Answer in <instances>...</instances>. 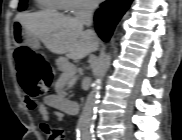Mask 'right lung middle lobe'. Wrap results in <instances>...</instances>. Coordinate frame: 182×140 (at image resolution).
<instances>
[{
    "mask_svg": "<svg viewBox=\"0 0 182 140\" xmlns=\"http://www.w3.org/2000/svg\"><path fill=\"white\" fill-rule=\"evenodd\" d=\"M26 3H27V0H22L20 1V4H19V10L22 11L26 8Z\"/></svg>",
    "mask_w": 182,
    "mask_h": 140,
    "instance_id": "1",
    "label": "right lung middle lobe"
}]
</instances>
